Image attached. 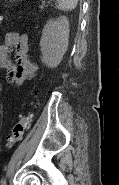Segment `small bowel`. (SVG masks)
I'll return each mask as SVG.
<instances>
[{"instance_id":"c3829d8e","label":"small bowel","mask_w":119,"mask_h":185,"mask_svg":"<svg viewBox=\"0 0 119 185\" xmlns=\"http://www.w3.org/2000/svg\"><path fill=\"white\" fill-rule=\"evenodd\" d=\"M12 51L15 54V63L9 58ZM0 67L5 70L6 81L16 86L22 85L35 75L37 65L30 58L28 38L25 34L6 33L4 44L0 46Z\"/></svg>"}]
</instances>
